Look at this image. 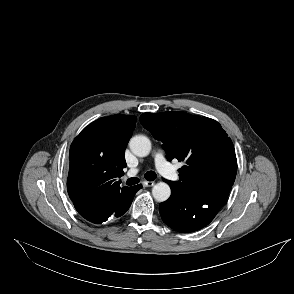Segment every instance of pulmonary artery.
Wrapping results in <instances>:
<instances>
[{
	"label": "pulmonary artery",
	"mask_w": 294,
	"mask_h": 294,
	"mask_svg": "<svg viewBox=\"0 0 294 294\" xmlns=\"http://www.w3.org/2000/svg\"><path fill=\"white\" fill-rule=\"evenodd\" d=\"M154 162L156 168L164 174H171L172 168L170 164L166 161L165 156L162 152H157L154 157ZM138 172V169H131L128 171V176H134Z\"/></svg>",
	"instance_id": "obj_1"
}]
</instances>
